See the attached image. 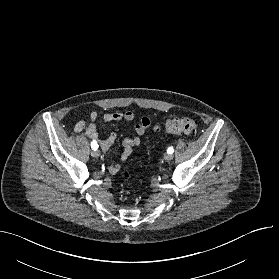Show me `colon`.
<instances>
[{
  "label": "colon",
  "mask_w": 279,
  "mask_h": 279,
  "mask_svg": "<svg viewBox=\"0 0 279 279\" xmlns=\"http://www.w3.org/2000/svg\"><path fill=\"white\" fill-rule=\"evenodd\" d=\"M155 129L164 130L165 132L172 134H191L197 131L198 122L190 117L174 118L168 120L162 127L156 126ZM122 176L125 179H129L130 173L124 171ZM123 194H125V191H123Z\"/></svg>",
  "instance_id": "1"
}]
</instances>
